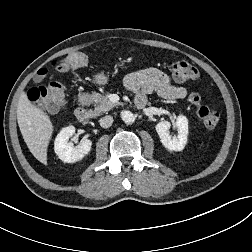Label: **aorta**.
Listing matches in <instances>:
<instances>
[{
    "mask_svg": "<svg viewBox=\"0 0 252 252\" xmlns=\"http://www.w3.org/2000/svg\"><path fill=\"white\" fill-rule=\"evenodd\" d=\"M121 118L127 124L133 123L135 121V117L130 111H122Z\"/></svg>",
    "mask_w": 252,
    "mask_h": 252,
    "instance_id": "1",
    "label": "aorta"
}]
</instances>
